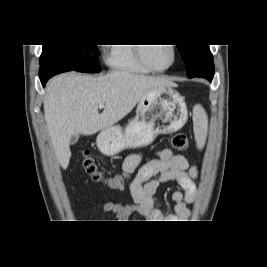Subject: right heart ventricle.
Returning <instances> with one entry per match:
<instances>
[{
    "label": "right heart ventricle",
    "mask_w": 267,
    "mask_h": 267,
    "mask_svg": "<svg viewBox=\"0 0 267 267\" xmlns=\"http://www.w3.org/2000/svg\"><path fill=\"white\" fill-rule=\"evenodd\" d=\"M107 63L115 71L133 73H150L151 70L141 63L137 54V47L133 44H111Z\"/></svg>",
    "instance_id": "e07e8e85"
}]
</instances>
